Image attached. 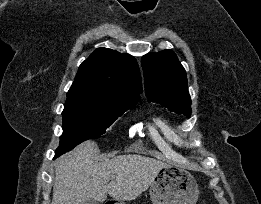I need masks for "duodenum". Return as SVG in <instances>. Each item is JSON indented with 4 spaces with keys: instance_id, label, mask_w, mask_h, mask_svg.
<instances>
[{
    "instance_id": "obj_1",
    "label": "duodenum",
    "mask_w": 261,
    "mask_h": 204,
    "mask_svg": "<svg viewBox=\"0 0 261 204\" xmlns=\"http://www.w3.org/2000/svg\"><path fill=\"white\" fill-rule=\"evenodd\" d=\"M106 204H113V203L109 202V203H106Z\"/></svg>"
}]
</instances>
